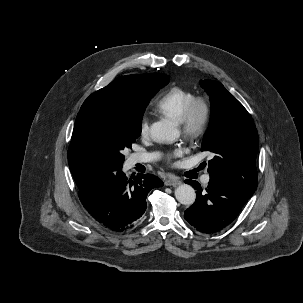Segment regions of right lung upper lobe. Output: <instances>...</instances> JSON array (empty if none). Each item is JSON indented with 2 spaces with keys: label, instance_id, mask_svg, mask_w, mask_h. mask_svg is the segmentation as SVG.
Instances as JSON below:
<instances>
[{
  "label": "right lung upper lobe",
  "instance_id": "cb5924a9",
  "mask_svg": "<svg viewBox=\"0 0 303 303\" xmlns=\"http://www.w3.org/2000/svg\"><path fill=\"white\" fill-rule=\"evenodd\" d=\"M166 74L150 73L141 75H127L115 79L108 86L90 95L87 99L96 96L111 95L125 99H140L148 96L159 77ZM73 130L70 147L68 149V163L86 168L90 175L102 172L97 157L88 149L81 146Z\"/></svg>",
  "mask_w": 303,
  "mask_h": 303
}]
</instances>
